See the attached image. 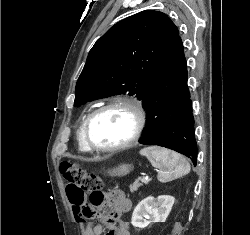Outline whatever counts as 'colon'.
<instances>
[{"label": "colon", "mask_w": 250, "mask_h": 235, "mask_svg": "<svg viewBox=\"0 0 250 235\" xmlns=\"http://www.w3.org/2000/svg\"><path fill=\"white\" fill-rule=\"evenodd\" d=\"M61 173L67 182L66 192L72 205H83L88 196L90 207L94 210L106 201L107 196L100 177L85 171L78 163L62 162ZM94 216L93 212L89 218Z\"/></svg>", "instance_id": "colon-1"}]
</instances>
